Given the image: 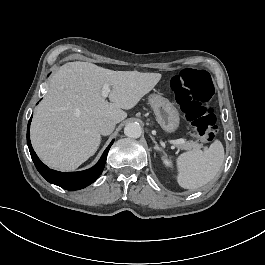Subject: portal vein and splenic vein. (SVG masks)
<instances>
[{"label": "portal vein and splenic vein", "mask_w": 265, "mask_h": 265, "mask_svg": "<svg viewBox=\"0 0 265 265\" xmlns=\"http://www.w3.org/2000/svg\"><path fill=\"white\" fill-rule=\"evenodd\" d=\"M110 92H111L110 87L108 85H104L103 91H102L103 97L106 98L110 94ZM186 142H187V139L185 138H181L176 141V143H186Z\"/></svg>", "instance_id": "1"}]
</instances>
